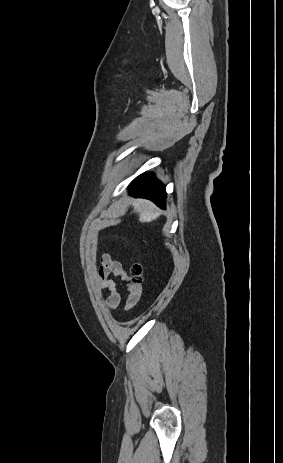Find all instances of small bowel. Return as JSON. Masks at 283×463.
I'll list each match as a JSON object with an SVG mask.
<instances>
[{
  "instance_id": "c3829d8e",
  "label": "small bowel",
  "mask_w": 283,
  "mask_h": 463,
  "mask_svg": "<svg viewBox=\"0 0 283 463\" xmlns=\"http://www.w3.org/2000/svg\"><path fill=\"white\" fill-rule=\"evenodd\" d=\"M100 268L97 272V279H98V290L104 291L108 290L109 295L106 297L104 301V307L107 311H112L118 307L121 302L122 296L117 288L116 282L109 278L112 274L121 278L124 281H128L129 276L127 271L125 270L124 266L118 262L114 261L110 254L108 253H101L100 255ZM130 289V295L126 301V308H131L135 301V294L133 293V286L128 284Z\"/></svg>"
}]
</instances>
